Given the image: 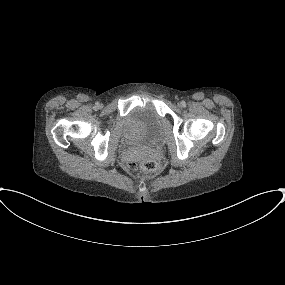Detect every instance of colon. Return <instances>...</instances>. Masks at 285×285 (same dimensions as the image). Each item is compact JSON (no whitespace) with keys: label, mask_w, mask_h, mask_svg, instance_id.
Masks as SVG:
<instances>
[{"label":"colon","mask_w":285,"mask_h":285,"mask_svg":"<svg viewBox=\"0 0 285 285\" xmlns=\"http://www.w3.org/2000/svg\"><path fill=\"white\" fill-rule=\"evenodd\" d=\"M129 168L130 169H140L145 173H154L159 170L160 165L155 159L149 158L142 162L132 161L129 163Z\"/></svg>","instance_id":"obj_1"}]
</instances>
